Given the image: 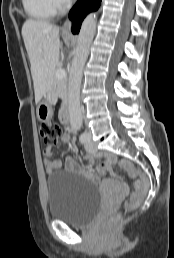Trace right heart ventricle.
<instances>
[{
	"label": "right heart ventricle",
	"mask_w": 174,
	"mask_h": 258,
	"mask_svg": "<svg viewBox=\"0 0 174 258\" xmlns=\"http://www.w3.org/2000/svg\"><path fill=\"white\" fill-rule=\"evenodd\" d=\"M22 5L26 14L35 20H49L56 13L52 0H22Z\"/></svg>",
	"instance_id": "1"
}]
</instances>
